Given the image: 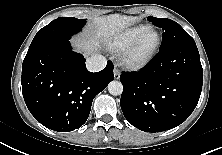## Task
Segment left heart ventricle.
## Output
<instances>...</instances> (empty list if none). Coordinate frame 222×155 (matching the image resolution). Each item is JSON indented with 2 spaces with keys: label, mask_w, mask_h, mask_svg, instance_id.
<instances>
[{
  "label": "left heart ventricle",
  "mask_w": 222,
  "mask_h": 155,
  "mask_svg": "<svg viewBox=\"0 0 222 155\" xmlns=\"http://www.w3.org/2000/svg\"><path fill=\"white\" fill-rule=\"evenodd\" d=\"M156 40V36L154 34L149 35L145 41L143 42V44L141 45L138 54L142 55L145 52H147L155 43Z\"/></svg>",
  "instance_id": "left-heart-ventricle-1"
}]
</instances>
